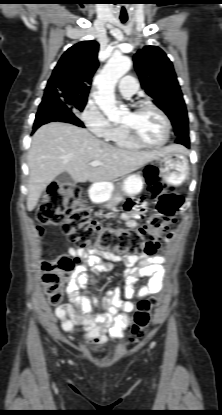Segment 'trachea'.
<instances>
[{
    "instance_id": "trachea-1",
    "label": "trachea",
    "mask_w": 222,
    "mask_h": 415,
    "mask_svg": "<svg viewBox=\"0 0 222 415\" xmlns=\"http://www.w3.org/2000/svg\"><path fill=\"white\" fill-rule=\"evenodd\" d=\"M127 21V19H121L122 23H125Z\"/></svg>"
}]
</instances>
